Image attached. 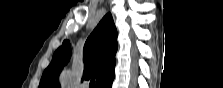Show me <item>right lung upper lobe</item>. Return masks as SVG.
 <instances>
[{
	"label": "right lung upper lobe",
	"mask_w": 223,
	"mask_h": 88,
	"mask_svg": "<svg viewBox=\"0 0 223 88\" xmlns=\"http://www.w3.org/2000/svg\"><path fill=\"white\" fill-rule=\"evenodd\" d=\"M117 30L110 13L97 25L85 42L83 79L96 78V87L114 79L115 53L117 51ZM69 42L66 40L56 50L51 64L44 71L39 88H60L58 75L70 59Z\"/></svg>",
	"instance_id": "obj_1"
}]
</instances>
